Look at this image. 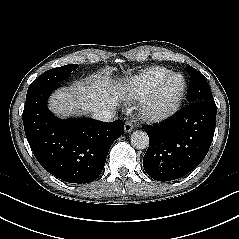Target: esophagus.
<instances>
[{
  "label": "esophagus",
  "mask_w": 239,
  "mask_h": 239,
  "mask_svg": "<svg viewBox=\"0 0 239 239\" xmlns=\"http://www.w3.org/2000/svg\"><path fill=\"white\" fill-rule=\"evenodd\" d=\"M134 126L133 123L131 121H126L125 122V126H124V130L126 133H129L133 130Z\"/></svg>",
  "instance_id": "34e87169"
}]
</instances>
